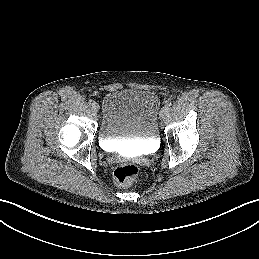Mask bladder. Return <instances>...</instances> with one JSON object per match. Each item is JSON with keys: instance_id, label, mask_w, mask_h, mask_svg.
Segmentation results:
<instances>
[{"instance_id": "bladder-1", "label": "bladder", "mask_w": 259, "mask_h": 259, "mask_svg": "<svg viewBox=\"0 0 259 259\" xmlns=\"http://www.w3.org/2000/svg\"><path fill=\"white\" fill-rule=\"evenodd\" d=\"M160 100L150 90L127 88L111 91L102 102L99 139L146 146L158 137Z\"/></svg>"}]
</instances>
